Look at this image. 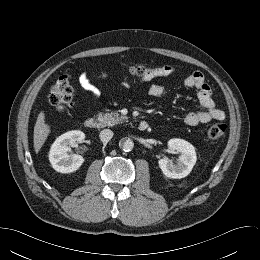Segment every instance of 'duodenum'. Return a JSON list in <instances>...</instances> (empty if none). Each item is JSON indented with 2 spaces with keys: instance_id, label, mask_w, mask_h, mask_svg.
<instances>
[{
  "instance_id": "duodenum-1",
  "label": "duodenum",
  "mask_w": 260,
  "mask_h": 260,
  "mask_svg": "<svg viewBox=\"0 0 260 260\" xmlns=\"http://www.w3.org/2000/svg\"><path fill=\"white\" fill-rule=\"evenodd\" d=\"M85 126L89 129H100L104 127V122L95 117H90L85 120ZM148 127L149 124L146 121H141L138 124V129L140 131H146Z\"/></svg>"
}]
</instances>
